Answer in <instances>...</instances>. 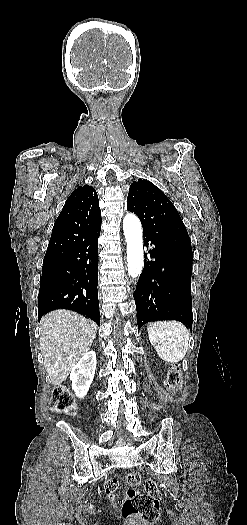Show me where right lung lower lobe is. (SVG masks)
<instances>
[{"instance_id":"1","label":"right lung lower lobe","mask_w":247,"mask_h":525,"mask_svg":"<svg viewBox=\"0 0 247 525\" xmlns=\"http://www.w3.org/2000/svg\"><path fill=\"white\" fill-rule=\"evenodd\" d=\"M43 262L38 295V320L55 309H68L100 325L98 302V237Z\"/></svg>"}]
</instances>
